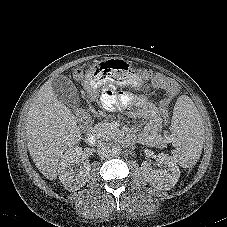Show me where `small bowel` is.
I'll return each mask as SVG.
<instances>
[{
  "instance_id": "1",
  "label": "small bowel",
  "mask_w": 227,
  "mask_h": 227,
  "mask_svg": "<svg viewBox=\"0 0 227 227\" xmlns=\"http://www.w3.org/2000/svg\"><path fill=\"white\" fill-rule=\"evenodd\" d=\"M127 98L118 97L114 91L105 87L102 89V97H101V106L105 111H112L119 104H125ZM160 128V121L156 117L150 118L147 124V131L150 135H154L158 132Z\"/></svg>"
}]
</instances>
